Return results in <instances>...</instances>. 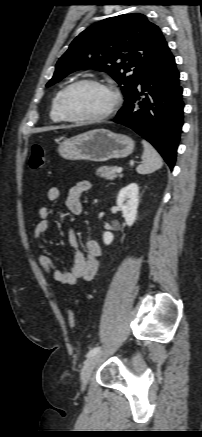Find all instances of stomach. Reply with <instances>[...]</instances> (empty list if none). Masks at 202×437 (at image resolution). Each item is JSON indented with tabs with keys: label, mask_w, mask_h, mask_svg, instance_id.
I'll use <instances>...</instances> for the list:
<instances>
[{
	"label": "stomach",
	"mask_w": 202,
	"mask_h": 437,
	"mask_svg": "<svg viewBox=\"0 0 202 437\" xmlns=\"http://www.w3.org/2000/svg\"><path fill=\"white\" fill-rule=\"evenodd\" d=\"M134 141L124 135L106 129H95L59 143L58 152L67 160L106 162L129 156Z\"/></svg>",
	"instance_id": "stomach-1"
}]
</instances>
